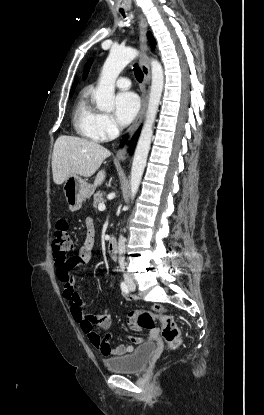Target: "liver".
Here are the masks:
<instances>
[{
  "instance_id": "6515ba94",
  "label": "liver",
  "mask_w": 264,
  "mask_h": 415,
  "mask_svg": "<svg viewBox=\"0 0 264 415\" xmlns=\"http://www.w3.org/2000/svg\"><path fill=\"white\" fill-rule=\"evenodd\" d=\"M111 155L104 146L75 136L62 135L54 144L52 155L53 181L61 185L70 175L92 176ZM105 170L97 173L94 187L105 179Z\"/></svg>"
}]
</instances>
